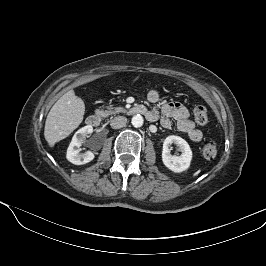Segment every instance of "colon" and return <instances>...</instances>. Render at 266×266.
<instances>
[{
	"instance_id": "obj_1",
	"label": "colon",
	"mask_w": 266,
	"mask_h": 266,
	"mask_svg": "<svg viewBox=\"0 0 266 266\" xmlns=\"http://www.w3.org/2000/svg\"><path fill=\"white\" fill-rule=\"evenodd\" d=\"M194 121L199 126H204L208 123L209 117L204 107L198 106L194 110ZM218 147L214 140H208L201 148V156L206 160H212L217 156Z\"/></svg>"
}]
</instances>
